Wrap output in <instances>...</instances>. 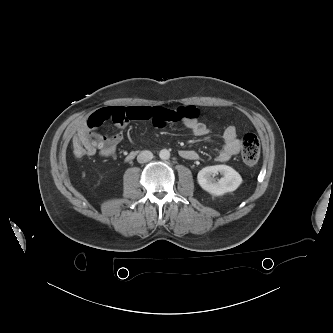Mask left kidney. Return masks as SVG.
<instances>
[{"instance_id": "obj_1", "label": "left kidney", "mask_w": 333, "mask_h": 333, "mask_svg": "<svg viewBox=\"0 0 333 333\" xmlns=\"http://www.w3.org/2000/svg\"><path fill=\"white\" fill-rule=\"evenodd\" d=\"M218 172L223 177L215 182L212 176ZM197 179L202 189L217 196L235 191L242 183L240 174L227 165L207 166L199 171Z\"/></svg>"}]
</instances>
